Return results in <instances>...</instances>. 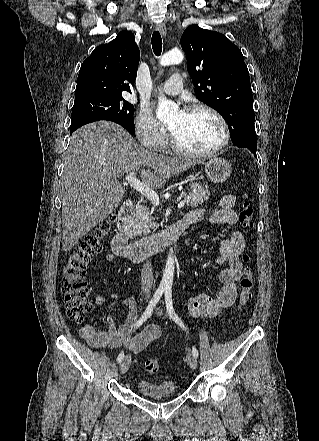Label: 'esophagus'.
Returning <instances> with one entry per match:
<instances>
[{
    "instance_id": "34e87169",
    "label": "esophagus",
    "mask_w": 319,
    "mask_h": 441,
    "mask_svg": "<svg viewBox=\"0 0 319 441\" xmlns=\"http://www.w3.org/2000/svg\"><path fill=\"white\" fill-rule=\"evenodd\" d=\"M156 29L161 33V35L165 38L166 37V28L164 24H157Z\"/></svg>"
}]
</instances>
